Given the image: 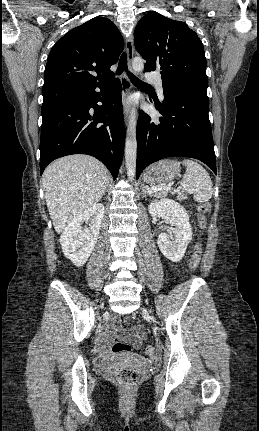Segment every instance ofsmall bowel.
Here are the masks:
<instances>
[{"instance_id":"small-bowel-1","label":"small bowel","mask_w":259,"mask_h":431,"mask_svg":"<svg viewBox=\"0 0 259 431\" xmlns=\"http://www.w3.org/2000/svg\"><path fill=\"white\" fill-rule=\"evenodd\" d=\"M116 329H117L116 323H111L105 328V330L101 333V336H100L101 346H105L106 344L111 342L113 338V334ZM142 335H143L142 328L137 327L136 329H134L132 333L128 335V340L131 342V344L134 347H139L141 344Z\"/></svg>"}]
</instances>
